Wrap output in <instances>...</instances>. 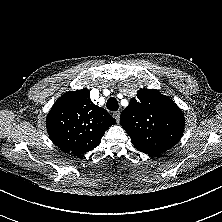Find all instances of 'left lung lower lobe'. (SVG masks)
Instances as JSON below:
<instances>
[{
    "label": "left lung lower lobe",
    "mask_w": 222,
    "mask_h": 222,
    "mask_svg": "<svg viewBox=\"0 0 222 222\" xmlns=\"http://www.w3.org/2000/svg\"><path fill=\"white\" fill-rule=\"evenodd\" d=\"M164 151H154V152H147V154L151 155V156H157L161 153H163Z\"/></svg>",
    "instance_id": "1"
}]
</instances>
